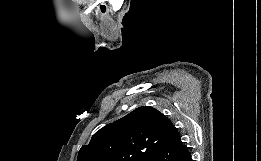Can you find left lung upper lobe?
Masks as SVG:
<instances>
[{"label":"left lung upper lobe","mask_w":261,"mask_h":161,"mask_svg":"<svg viewBox=\"0 0 261 161\" xmlns=\"http://www.w3.org/2000/svg\"><path fill=\"white\" fill-rule=\"evenodd\" d=\"M177 134L171 121L152 107H139L97 131L77 161H149Z\"/></svg>","instance_id":"5c2ea615"}]
</instances>
